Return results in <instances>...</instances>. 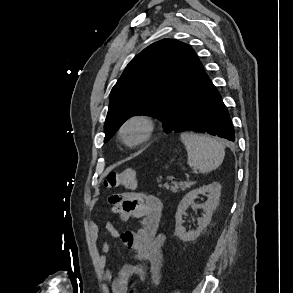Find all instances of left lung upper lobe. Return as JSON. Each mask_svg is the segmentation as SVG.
<instances>
[{"label":"left lung upper lobe","instance_id":"left-lung-upper-lobe-1","mask_svg":"<svg viewBox=\"0 0 293 293\" xmlns=\"http://www.w3.org/2000/svg\"><path fill=\"white\" fill-rule=\"evenodd\" d=\"M210 82L189 45L174 39L151 44L133 58L112 88L104 142L135 115L156 117L164 131L171 132L186 105Z\"/></svg>","mask_w":293,"mask_h":293}]
</instances>
